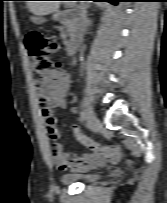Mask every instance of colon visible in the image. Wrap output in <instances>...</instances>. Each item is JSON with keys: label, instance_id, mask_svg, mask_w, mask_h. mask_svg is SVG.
Wrapping results in <instances>:
<instances>
[{"label": "colon", "instance_id": "colon-1", "mask_svg": "<svg viewBox=\"0 0 167 203\" xmlns=\"http://www.w3.org/2000/svg\"><path fill=\"white\" fill-rule=\"evenodd\" d=\"M25 48L35 72L44 73L54 65L60 67L61 62L51 59V55L59 50V44L55 38L44 37L38 32H31L25 38Z\"/></svg>", "mask_w": 167, "mask_h": 203}]
</instances>
